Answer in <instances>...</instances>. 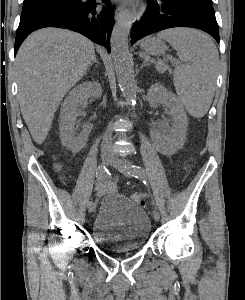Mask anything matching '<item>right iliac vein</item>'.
Here are the masks:
<instances>
[{
  "label": "right iliac vein",
  "mask_w": 245,
  "mask_h": 300,
  "mask_svg": "<svg viewBox=\"0 0 245 300\" xmlns=\"http://www.w3.org/2000/svg\"><path fill=\"white\" fill-rule=\"evenodd\" d=\"M101 158L104 164H109L110 160H111V153L107 150H104L101 153ZM88 207V212L91 213L95 210L96 206L91 205V201L88 202L87 204Z\"/></svg>",
  "instance_id": "obj_1"
}]
</instances>
